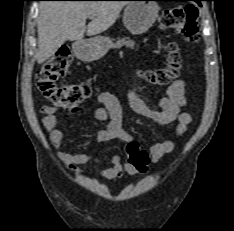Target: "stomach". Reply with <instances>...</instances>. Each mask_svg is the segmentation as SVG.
Segmentation results:
<instances>
[{
    "label": "stomach",
    "mask_w": 234,
    "mask_h": 231,
    "mask_svg": "<svg viewBox=\"0 0 234 231\" xmlns=\"http://www.w3.org/2000/svg\"><path fill=\"white\" fill-rule=\"evenodd\" d=\"M160 7L156 2L148 0H134L126 5L123 23L128 31L134 35H141L148 31L158 17ZM112 46V40L106 36H97L88 40L74 43L77 57L83 61L92 62L101 59Z\"/></svg>",
    "instance_id": "0dacf381"
}]
</instances>
